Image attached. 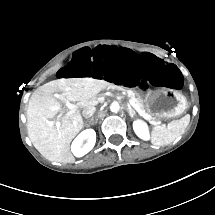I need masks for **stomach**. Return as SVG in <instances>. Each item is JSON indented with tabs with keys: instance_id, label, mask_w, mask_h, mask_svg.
<instances>
[{
	"instance_id": "obj_1",
	"label": "stomach",
	"mask_w": 215,
	"mask_h": 215,
	"mask_svg": "<svg viewBox=\"0 0 215 215\" xmlns=\"http://www.w3.org/2000/svg\"><path fill=\"white\" fill-rule=\"evenodd\" d=\"M147 111L157 118H174L187 109V99L178 90L160 87L142 92L136 90Z\"/></svg>"
}]
</instances>
